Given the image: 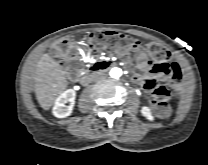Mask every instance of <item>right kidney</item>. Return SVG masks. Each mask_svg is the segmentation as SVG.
<instances>
[{
    "mask_svg": "<svg viewBox=\"0 0 208 165\" xmlns=\"http://www.w3.org/2000/svg\"><path fill=\"white\" fill-rule=\"evenodd\" d=\"M76 92L73 89L64 91L55 100V105L52 109V113L57 118H65L72 113V109L75 103ZM69 102V106L65 104Z\"/></svg>",
    "mask_w": 208,
    "mask_h": 165,
    "instance_id": "ca27d5eb",
    "label": "right kidney"
}]
</instances>
